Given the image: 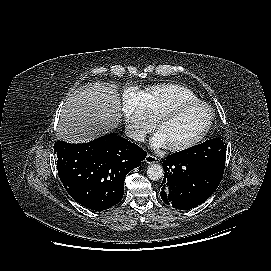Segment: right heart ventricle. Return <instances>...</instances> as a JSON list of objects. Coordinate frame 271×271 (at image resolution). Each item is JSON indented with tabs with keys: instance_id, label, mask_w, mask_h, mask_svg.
I'll list each match as a JSON object with an SVG mask.
<instances>
[{
	"instance_id": "obj_1",
	"label": "right heart ventricle",
	"mask_w": 271,
	"mask_h": 271,
	"mask_svg": "<svg viewBox=\"0 0 271 271\" xmlns=\"http://www.w3.org/2000/svg\"><path fill=\"white\" fill-rule=\"evenodd\" d=\"M148 114L154 117L161 111L178 103L198 100L197 96L188 88L163 83L148 87L144 92Z\"/></svg>"
}]
</instances>
